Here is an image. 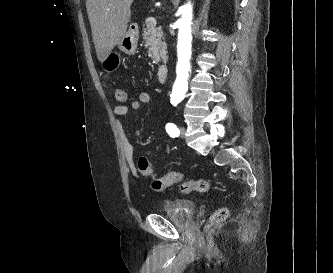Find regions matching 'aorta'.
Here are the masks:
<instances>
[{"mask_svg":"<svg viewBox=\"0 0 333 273\" xmlns=\"http://www.w3.org/2000/svg\"><path fill=\"white\" fill-rule=\"evenodd\" d=\"M181 18L178 20V41H177V78L173 86L171 99L173 102H180L188 88V77L190 71L191 42H192V19L193 6L190 0L180 7Z\"/></svg>","mask_w":333,"mask_h":273,"instance_id":"762f6f07","label":"aorta"}]
</instances>
